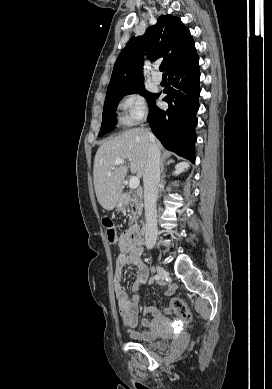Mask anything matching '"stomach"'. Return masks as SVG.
<instances>
[{
  "label": "stomach",
  "mask_w": 272,
  "mask_h": 389,
  "mask_svg": "<svg viewBox=\"0 0 272 389\" xmlns=\"http://www.w3.org/2000/svg\"><path fill=\"white\" fill-rule=\"evenodd\" d=\"M124 206H125V200H124V198L121 197L119 199L118 203L116 204V210L119 212V211L123 210Z\"/></svg>",
  "instance_id": "stomach-1"
}]
</instances>
